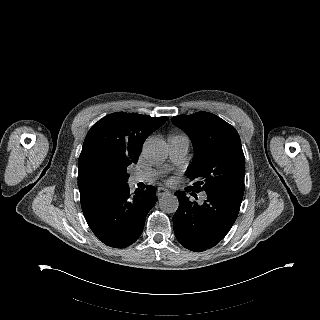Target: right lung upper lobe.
Returning a JSON list of instances; mask_svg holds the SVG:
<instances>
[{"label":"right lung upper lobe","instance_id":"1","mask_svg":"<svg viewBox=\"0 0 320 320\" xmlns=\"http://www.w3.org/2000/svg\"><path fill=\"white\" fill-rule=\"evenodd\" d=\"M167 117L117 112L102 118L87 134L78 161L80 194L99 186L121 184L119 177L137 163L145 139Z\"/></svg>","mask_w":320,"mask_h":320}]
</instances>
